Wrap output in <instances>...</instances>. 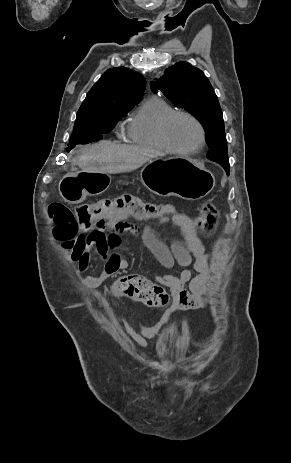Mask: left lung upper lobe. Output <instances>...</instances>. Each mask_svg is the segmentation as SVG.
<instances>
[{
    "instance_id": "1",
    "label": "left lung upper lobe",
    "mask_w": 291,
    "mask_h": 463,
    "mask_svg": "<svg viewBox=\"0 0 291 463\" xmlns=\"http://www.w3.org/2000/svg\"><path fill=\"white\" fill-rule=\"evenodd\" d=\"M154 93L162 92L174 104L195 116L206 131L208 158L229 163L224 121L218 98L204 73L187 62L167 68L151 82Z\"/></svg>"
}]
</instances>
